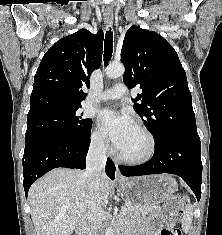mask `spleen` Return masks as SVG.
Here are the masks:
<instances>
[{"label":"spleen","instance_id":"1","mask_svg":"<svg viewBox=\"0 0 222 235\" xmlns=\"http://www.w3.org/2000/svg\"><path fill=\"white\" fill-rule=\"evenodd\" d=\"M188 204L185 207V210L183 212V218H182V229L184 232H188L190 230V226L193 219V207L190 204L189 199L187 200Z\"/></svg>","mask_w":222,"mask_h":235}]
</instances>
